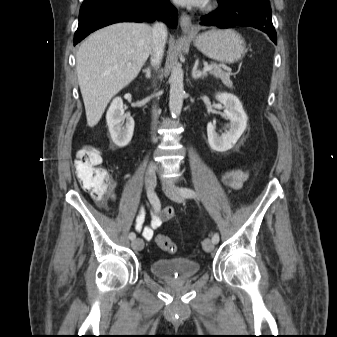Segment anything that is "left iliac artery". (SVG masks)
<instances>
[{"label":"left iliac artery","mask_w":337,"mask_h":337,"mask_svg":"<svg viewBox=\"0 0 337 337\" xmlns=\"http://www.w3.org/2000/svg\"><path fill=\"white\" fill-rule=\"evenodd\" d=\"M180 193H181L182 196H184L186 198H195L196 197V193L190 188L182 187L180 189ZM212 241H213L214 244H217L219 242L218 233H215L212 236Z\"/></svg>","instance_id":"1"}]
</instances>
